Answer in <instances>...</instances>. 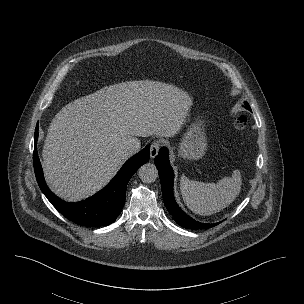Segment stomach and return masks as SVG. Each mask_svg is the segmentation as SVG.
I'll list each match as a JSON object with an SVG mask.
<instances>
[{
    "mask_svg": "<svg viewBox=\"0 0 304 304\" xmlns=\"http://www.w3.org/2000/svg\"><path fill=\"white\" fill-rule=\"evenodd\" d=\"M207 150L204 122L197 120L188 128L179 144L178 155L189 160L202 158Z\"/></svg>",
    "mask_w": 304,
    "mask_h": 304,
    "instance_id": "obj_1",
    "label": "stomach"
}]
</instances>
